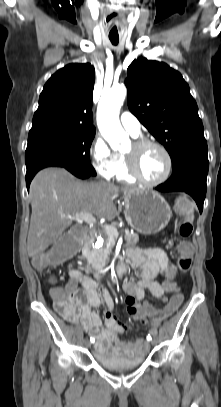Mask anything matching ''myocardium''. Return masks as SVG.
<instances>
[{"label": "myocardium", "instance_id": "myocardium-1", "mask_svg": "<svg viewBox=\"0 0 221 407\" xmlns=\"http://www.w3.org/2000/svg\"><path fill=\"white\" fill-rule=\"evenodd\" d=\"M135 152L132 154H124L126 167L129 175L136 181L148 185V186H158L165 183L172 175L173 172V159L168 151V149L159 142L149 140V139H137L133 143ZM157 148L159 149L166 157L167 160V170L165 175L159 180H148L140 172L138 168L137 156L138 153L147 149V148Z\"/></svg>", "mask_w": 221, "mask_h": 407}]
</instances>
